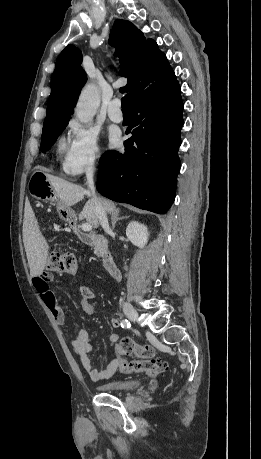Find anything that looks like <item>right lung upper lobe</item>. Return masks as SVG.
Segmentation results:
<instances>
[{
	"label": "right lung upper lobe",
	"mask_w": 261,
	"mask_h": 459,
	"mask_svg": "<svg viewBox=\"0 0 261 459\" xmlns=\"http://www.w3.org/2000/svg\"><path fill=\"white\" fill-rule=\"evenodd\" d=\"M109 44L116 48L120 74L128 78L121 91L129 92L131 106L164 91L177 81L156 42L151 39L146 41L132 23L117 20L111 30ZM81 62V51L73 45H68L59 55L43 127L68 123L81 87L87 80Z\"/></svg>",
	"instance_id": "right-lung-upper-lobe-1"
}]
</instances>
